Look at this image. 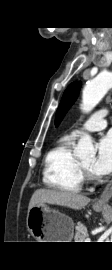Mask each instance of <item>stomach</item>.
Wrapping results in <instances>:
<instances>
[{
  "label": "stomach",
  "mask_w": 112,
  "mask_h": 270,
  "mask_svg": "<svg viewBox=\"0 0 112 270\" xmlns=\"http://www.w3.org/2000/svg\"><path fill=\"white\" fill-rule=\"evenodd\" d=\"M97 212L103 207L94 206ZM27 228L38 242H71L73 238V220L48 205L37 204L27 214Z\"/></svg>",
  "instance_id": "obj_1"
}]
</instances>
